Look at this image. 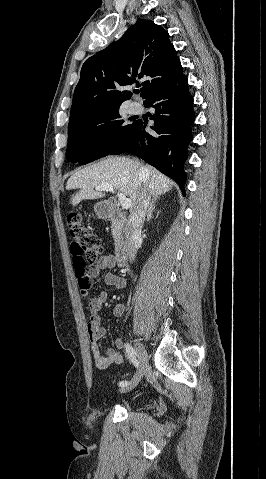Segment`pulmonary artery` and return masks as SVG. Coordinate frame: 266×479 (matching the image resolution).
Returning <instances> with one entry per match:
<instances>
[{
  "label": "pulmonary artery",
  "instance_id": "1",
  "mask_svg": "<svg viewBox=\"0 0 266 479\" xmlns=\"http://www.w3.org/2000/svg\"><path fill=\"white\" fill-rule=\"evenodd\" d=\"M129 108L132 113H139L142 109V106L138 102H131Z\"/></svg>",
  "mask_w": 266,
  "mask_h": 479
}]
</instances>
